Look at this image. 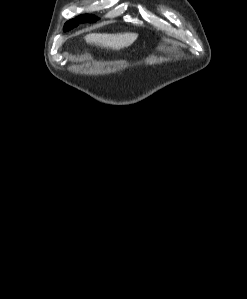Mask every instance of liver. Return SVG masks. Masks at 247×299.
I'll list each match as a JSON object with an SVG mask.
<instances>
[{"instance_id":"liver-1","label":"liver","mask_w":247,"mask_h":299,"mask_svg":"<svg viewBox=\"0 0 247 299\" xmlns=\"http://www.w3.org/2000/svg\"><path fill=\"white\" fill-rule=\"evenodd\" d=\"M138 38L137 33L101 34L91 33L85 36L87 43L113 50H120L132 45Z\"/></svg>"}]
</instances>
